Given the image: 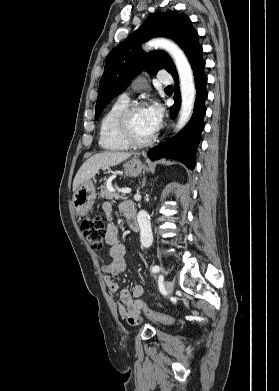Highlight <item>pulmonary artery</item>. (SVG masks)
I'll use <instances>...</instances> for the list:
<instances>
[{
  "mask_svg": "<svg viewBox=\"0 0 279 391\" xmlns=\"http://www.w3.org/2000/svg\"><path fill=\"white\" fill-rule=\"evenodd\" d=\"M158 81L162 84H170V83H172L173 79L170 74H160V76L158 77ZM122 97L127 98L126 95H123Z\"/></svg>",
  "mask_w": 279,
  "mask_h": 391,
  "instance_id": "obj_1",
  "label": "pulmonary artery"
}]
</instances>
